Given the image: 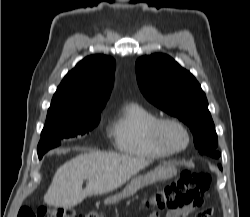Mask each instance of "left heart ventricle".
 Returning a JSON list of instances; mask_svg holds the SVG:
<instances>
[{
  "mask_svg": "<svg viewBox=\"0 0 250 217\" xmlns=\"http://www.w3.org/2000/svg\"><path fill=\"white\" fill-rule=\"evenodd\" d=\"M166 139L174 146H182L185 143L184 135L173 127H168L165 131Z\"/></svg>",
  "mask_w": 250,
  "mask_h": 217,
  "instance_id": "b2bd125f",
  "label": "left heart ventricle"
}]
</instances>
